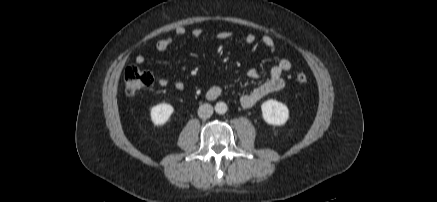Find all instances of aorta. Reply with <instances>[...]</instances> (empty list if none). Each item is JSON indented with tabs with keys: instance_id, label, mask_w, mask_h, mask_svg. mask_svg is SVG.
<instances>
[{
	"instance_id": "1",
	"label": "aorta",
	"mask_w": 437,
	"mask_h": 202,
	"mask_svg": "<svg viewBox=\"0 0 437 202\" xmlns=\"http://www.w3.org/2000/svg\"><path fill=\"white\" fill-rule=\"evenodd\" d=\"M227 105L224 102H217L215 105V111L218 114H225L227 112Z\"/></svg>"
}]
</instances>
